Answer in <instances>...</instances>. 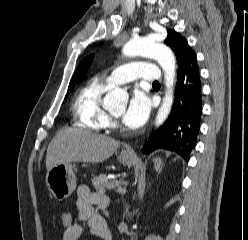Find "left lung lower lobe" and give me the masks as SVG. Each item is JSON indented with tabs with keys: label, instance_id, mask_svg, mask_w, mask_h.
I'll return each instance as SVG.
<instances>
[{
	"label": "left lung lower lobe",
	"instance_id": "1",
	"mask_svg": "<svg viewBox=\"0 0 248 240\" xmlns=\"http://www.w3.org/2000/svg\"><path fill=\"white\" fill-rule=\"evenodd\" d=\"M201 113V81L194 53L178 71L175 99L168 119L145 142L143 152L162 148L189 161L190 152L196 146Z\"/></svg>",
	"mask_w": 248,
	"mask_h": 240
}]
</instances>
